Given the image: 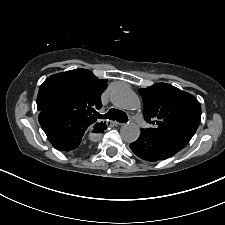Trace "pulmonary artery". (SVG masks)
<instances>
[{
	"label": "pulmonary artery",
	"instance_id": "obj_1",
	"mask_svg": "<svg viewBox=\"0 0 225 225\" xmlns=\"http://www.w3.org/2000/svg\"><path fill=\"white\" fill-rule=\"evenodd\" d=\"M136 122L141 126H147L146 122L144 121L143 117L140 114L135 115Z\"/></svg>",
	"mask_w": 225,
	"mask_h": 225
}]
</instances>
